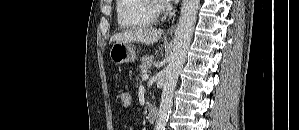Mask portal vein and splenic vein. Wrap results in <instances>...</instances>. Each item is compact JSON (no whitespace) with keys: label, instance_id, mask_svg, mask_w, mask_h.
I'll list each match as a JSON object with an SVG mask.
<instances>
[{"label":"portal vein and splenic vein","instance_id":"18ae733b","mask_svg":"<svg viewBox=\"0 0 299 130\" xmlns=\"http://www.w3.org/2000/svg\"><path fill=\"white\" fill-rule=\"evenodd\" d=\"M148 78H149V75H148V74H143V75H142V79H143V80H147Z\"/></svg>","mask_w":299,"mask_h":130}]
</instances>
